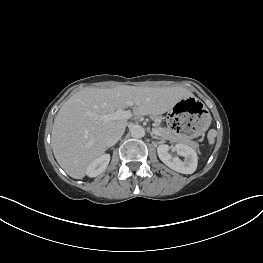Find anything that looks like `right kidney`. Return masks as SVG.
Here are the masks:
<instances>
[{
  "label": "right kidney",
  "instance_id": "obj_1",
  "mask_svg": "<svg viewBox=\"0 0 263 263\" xmlns=\"http://www.w3.org/2000/svg\"><path fill=\"white\" fill-rule=\"evenodd\" d=\"M110 161V155L109 154H103L97 159H95L86 170V174L89 177H96L103 173Z\"/></svg>",
  "mask_w": 263,
  "mask_h": 263
}]
</instances>
